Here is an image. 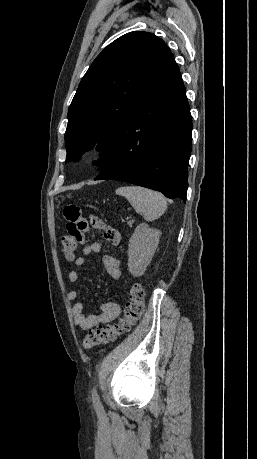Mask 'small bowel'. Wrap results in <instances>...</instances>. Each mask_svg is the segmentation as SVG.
Masks as SVG:
<instances>
[{
	"mask_svg": "<svg viewBox=\"0 0 257 459\" xmlns=\"http://www.w3.org/2000/svg\"><path fill=\"white\" fill-rule=\"evenodd\" d=\"M89 218V210L85 205H72L70 203L63 207V220H67L69 226L65 229L66 236H71L72 241L79 244L80 247H84L83 255L76 257L74 260V264L77 267L85 265L86 256L99 253L101 250V245L98 242L90 243L89 237L93 235V228L101 231L105 240L112 246H118L121 242V233L117 229L106 225L98 217H92L90 220ZM103 265L107 274L118 284L122 274L120 261L112 255H104ZM79 279L80 273L77 270H71L68 273V280L71 283H76ZM68 298L74 301L72 305L74 322L84 330L110 323L121 313L120 304L109 301L101 304L98 314L87 316L84 312V304L77 301L79 298L77 289L70 290Z\"/></svg>",
	"mask_w": 257,
	"mask_h": 459,
	"instance_id": "small-bowel-1",
	"label": "small bowel"
}]
</instances>
